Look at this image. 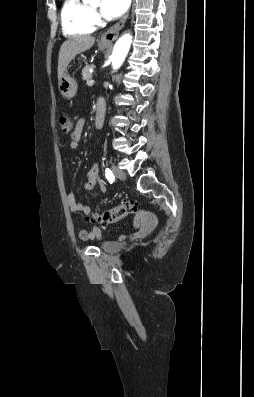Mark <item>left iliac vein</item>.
Instances as JSON below:
<instances>
[{
	"mask_svg": "<svg viewBox=\"0 0 254 397\" xmlns=\"http://www.w3.org/2000/svg\"><path fill=\"white\" fill-rule=\"evenodd\" d=\"M113 172L116 178L120 179V180H124L125 179V173L119 169L118 167L114 166L113 167Z\"/></svg>",
	"mask_w": 254,
	"mask_h": 397,
	"instance_id": "1",
	"label": "left iliac vein"
}]
</instances>
